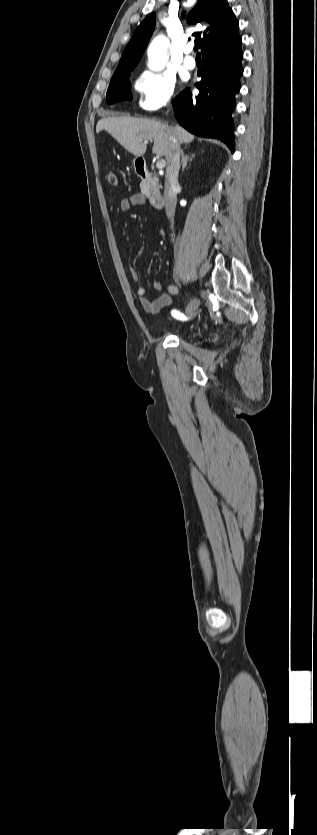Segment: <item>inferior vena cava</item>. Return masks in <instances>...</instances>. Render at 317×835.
<instances>
[{"mask_svg":"<svg viewBox=\"0 0 317 835\" xmlns=\"http://www.w3.org/2000/svg\"><path fill=\"white\" fill-rule=\"evenodd\" d=\"M167 167L165 175V210L171 223L174 220L177 203V189L179 187L178 174L180 169V143L176 136H170V146L166 155Z\"/></svg>","mask_w":317,"mask_h":835,"instance_id":"602c4592","label":"inferior vena cava"}]
</instances>
